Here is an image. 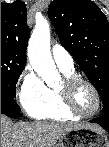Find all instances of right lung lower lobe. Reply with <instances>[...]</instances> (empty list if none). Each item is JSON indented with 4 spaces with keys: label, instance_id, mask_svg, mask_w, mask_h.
<instances>
[{
    "label": "right lung lower lobe",
    "instance_id": "obj_1",
    "mask_svg": "<svg viewBox=\"0 0 109 147\" xmlns=\"http://www.w3.org/2000/svg\"><path fill=\"white\" fill-rule=\"evenodd\" d=\"M1 114H5V115H7L9 117H13V118H19L22 116L20 111L13 109L10 105L3 102L2 100H1Z\"/></svg>",
    "mask_w": 109,
    "mask_h": 147
}]
</instances>
